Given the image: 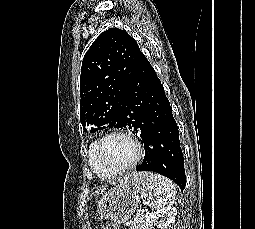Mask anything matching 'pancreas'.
<instances>
[{
  "label": "pancreas",
  "instance_id": "cf45deb5",
  "mask_svg": "<svg viewBox=\"0 0 255 229\" xmlns=\"http://www.w3.org/2000/svg\"><path fill=\"white\" fill-rule=\"evenodd\" d=\"M129 229H143V215L137 212Z\"/></svg>",
  "mask_w": 255,
  "mask_h": 229
}]
</instances>
